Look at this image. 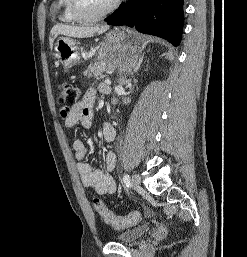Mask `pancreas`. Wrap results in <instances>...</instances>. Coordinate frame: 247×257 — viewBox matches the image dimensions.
Returning a JSON list of instances; mask_svg holds the SVG:
<instances>
[{"mask_svg": "<svg viewBox=\"0 0 247 257\" xmlns=\"http://www.w3.org/2000/svg\"><path fill=\"white\" fill-rule=\"evenodd\" d=\"M114 66L112 64H108L104 61H94L91 63L87 70L84 72V76L87 78H95L100 80L105 77L103 74L105 71L112 69Z\"/></svg>", "mask_w": 247, "mask_h": 257, "instance_id": "obj_1", "label": "pancreas"}]
</instances>
